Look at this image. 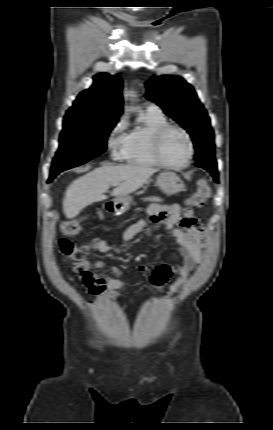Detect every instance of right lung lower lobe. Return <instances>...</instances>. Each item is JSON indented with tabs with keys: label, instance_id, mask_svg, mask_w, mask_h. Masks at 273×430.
Segmentation results:
<instances>
[{
	"label": "right lung lower lobe",
	"instance_id": "98d812e1",
	"mask_svg": "<svg viewBox=\"0 0 273 430\" xmlns=\"http://www.w3.org/2000/svg\"><path fill=\"white\" fill-rule=\"evenodd\" d=\"M56 176V175H55ZM54 175H51L50 177H49V181H52L53 180V178L55 177Z\"/></svg>",
	"mask_w": 273,
	"mask_h": 430
}]
</instances>
